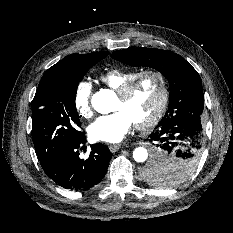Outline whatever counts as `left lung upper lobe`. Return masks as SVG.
<instances>
[{
    "mask_svg": "<svg viewBox=\"0 0 233 233\" xmlns=\"http://www.w3.org/2000/svg\"><path fill=\"white\" fill-rule=\"evenodd\" d=\"M130 66H147L158 70L169 82L168 110L159 123L181 116H194L201 120L204 95L199 74L182 56L169 50L133 48L117 50L111 54ZM200 156L171 158L163 165L149 163L143 178L160 186H174L187 180L195 171Z\"/></svg>",
    "mask_w": 233,
    "mask_h": 233,
    "instance_id": "5c2ea615",
    "label": "left lung upper lobe"
}]
</instances>
